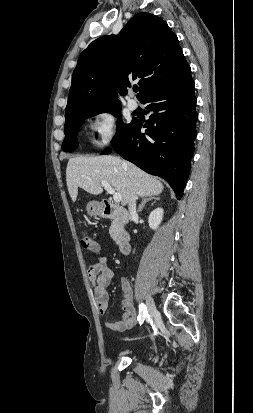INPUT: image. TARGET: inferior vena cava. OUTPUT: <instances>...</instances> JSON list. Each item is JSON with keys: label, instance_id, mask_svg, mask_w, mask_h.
<instances>
[{"label": "inferior vena cava", "instance_id": "inferior-vena-cava-1", "mask_svg": "<svg viewBox=\"0 0 253 413\" xmlns=\"http://www.w3.org/2000/svg\"><path fill=\"white\" fill-rule=\"evenodd\" d=\"M136 199L137 196L135 193L132 194L129 202H128V209H129V214H130V218H134L137 213H136Z\"/></svg>", "mask_w": 253, "mask_h": 413}]
</instances>
